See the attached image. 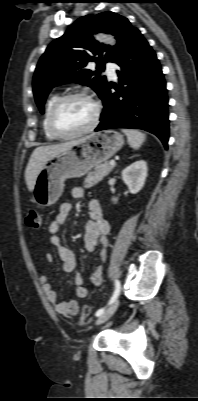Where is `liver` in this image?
Listing matches in <instances>:
<instances>
[{
    "label": "liver",
    "mask_w": 198,
    "mask_h": 401,
    "mask_svg": "<svg viewBox=\"0 0 198 401\" xmlns=\"http://www.w3.org/2000/svg\"><path fill=\"white\" fill-rule=\"evenodd\" d=\"M78 142H80V139L57 145L40 146L34 149L25 170V181L28 190L30 192L34 190L37 176L49 159Z\"/></svg>",
    "instance_id": "liver-1"
}]
</instances>
